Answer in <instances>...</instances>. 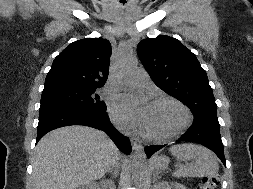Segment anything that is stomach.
Segmentation results:
<instances>
[{
	"label": "stomach",
	"instance_id": "obj_1",
	"mask_svg": "<svg viewBox=\"0 0 253 189\" xmlns=\"http://www.w3.org/2000/svg\"><path fill=\"white\" fill-rule=\"evenodd\" d=\"M168 164H169V158L166 156H158V157H155L153 160V165L158 170H163L167 168Z\"/></svg>",
	"mask_w": 253,
	"mask_h": 189
}]
</instances>
